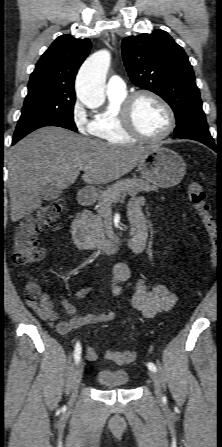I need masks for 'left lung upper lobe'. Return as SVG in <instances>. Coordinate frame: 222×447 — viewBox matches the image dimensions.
<instances>
[{
    "label": "left lung upper lobe",
    "mask_w": 222,
    "mask_h": 447,
    "mask_svg": "<svg viewBox=\"0 0 222 447\" xmlns=\"http://www.w3.org/2000/svg\"><path fill=\"white\" fill-rule=\"evenodd\" d=\"M122 53L132 82L158 94L172 107L177 120L175 137L213 141L192 65L167 32L156 29L150 34L126 37Z\"/></svg>",
    "instance_id": "obj_1"
}]
</instances>
